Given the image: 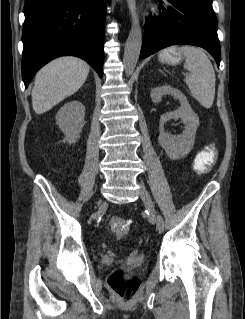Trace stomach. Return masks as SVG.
I'll use <instances>...</instances> for the list:
<instances>
[{
	"instance_id": "obj_1",
	"label": "stomach",
	"mask_w": 245,
	"mask_h": 319,
	"mask_svg": "<svg viewBox=\"0 0 245 319\" xmlns=\"http://www.w3.org/2000/svg\"><path fill=\"white\" fill-rule=\"evenodd\" d=\"M162 63L176 65L182 60V54L176 47H171L161 51L158 55Z\"/></svg>"
}]
</instances>
